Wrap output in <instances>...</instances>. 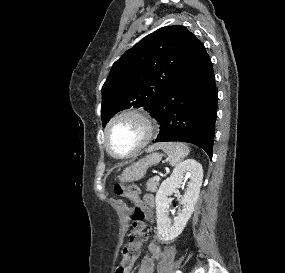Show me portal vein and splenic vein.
Listing matches in <instances>:
<instances>
[{
    "label": "portal vein and splenic vein",
    "mask_w": 285,
    "mask_h": 273,
    "mask_svg": "<svg viewBox=\"0 0 285 273\" xmlns=\"http://www.w3.org/2000/svg\"><path fill=\"white\" fill-rule=\"evenodd\" d=\"M154 179H155V180H159L160 177H159L158 175H156V176L154 177Z\"/></svg>",
    "instance_id": "obj_1"
}]
</instances>
